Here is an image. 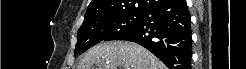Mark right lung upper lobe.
I'll return each instance as SVG.
<instances>
[{
	"mask_svg": "<svg viewBox=\"0 0 246 69\" xmlns=\"http://www.w3.org/2000/svg\"><path fill=\"white\" fill-rule=\"evenodd\" d=\"M164 0H92L84 16V22L122 14H143Z\"/></svg>",
	"mask_w": 246,
	"mask_h": 69,
	"instance_id": "cb5924a9",
	"label": "right lung upper lobe"
}]
</instances>
